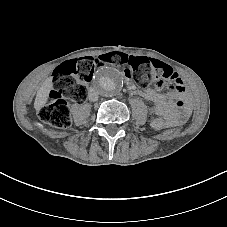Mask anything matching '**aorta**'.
I'll return each mask as SVG.
<instances>
[{"instance_id": "obj_1", "label": "aorta", "mask_w": 227, "mask_h": 227, "mask_svg": "<svg viewBox=\"0 0 227 227\" xmlns=\"http://www.w3.org/2000/svg\"><path fill=\"white\" fill-rule=\"evenodd\" d=\"M93 78V87L104 97L116 95L123 87L121 72L112 66L99 68Z\"/></svg>"}]
</instances>
